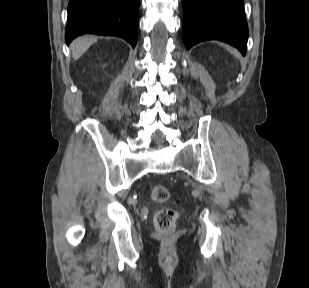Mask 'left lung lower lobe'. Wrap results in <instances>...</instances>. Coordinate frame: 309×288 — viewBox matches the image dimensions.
<instances>
[{"instance_id":"obj_1","label":"left lung lower lobe","mask_w":309,"mask_h":288,"mask_svg":"<svg viewBox=\"0 0 309 288\" xmlns=\"http://www.w3.org/2000/svg\"><path fill=\"white\" fill-rule=\"evenodd\" d=\"M185 47L220 40L246 54L248 26L243 0H182Z\"/></svg>"}]
</instances>
